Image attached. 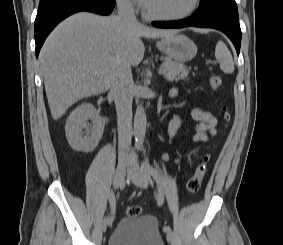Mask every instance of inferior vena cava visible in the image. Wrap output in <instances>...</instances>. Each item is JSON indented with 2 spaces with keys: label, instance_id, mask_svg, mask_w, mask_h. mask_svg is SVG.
<instances>
[{
  "label": "inferior vena cava",
  "instance_id": "1",
  "mask_svg": "<svg viewBox=\"0 0 283 245\" xmlns=\"http://www.w3.org/2000/svg\"><path fill=\"white\" fill-rule=\"evenodd\" d=\"M118 16L125 22L136 23L134 9L129 0H117ZM133 78L130 66H124L115 73L110 89L117 111L119 160L132 159L127 153L132 138Z\"/></svg>",
  "mask_w": 283,
  "mask_h": 245
}]
</instances>
